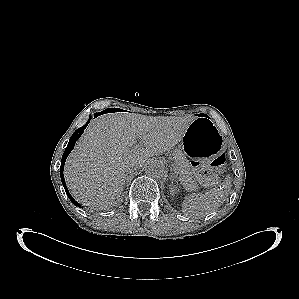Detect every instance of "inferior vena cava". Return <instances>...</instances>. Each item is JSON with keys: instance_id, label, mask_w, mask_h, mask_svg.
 <instances>
[{"instance_id": "602c4592", "label": "inferior vena cava", "mask_w": 299, "mask_h": 299, "mask_svg": "<svg viewBox=\"0 0 299 299\" xmlns=\"http://www.w3.org/2000/svg\"><path fill=\"white\" fill-rule=\"evenodd\" d=\"M137 168H138L137 165L132 164V165L130 166L129 172H132V171L136 170ZM129 172H128V173H129Z\"/></svg>"}]
</instances>
